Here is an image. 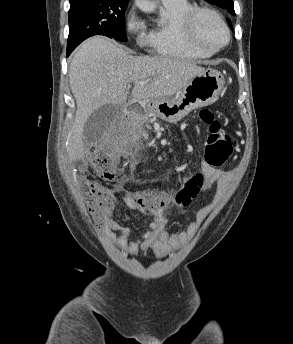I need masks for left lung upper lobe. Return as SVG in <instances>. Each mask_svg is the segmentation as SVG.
<instances>
[{
    "mask_svg": "<svg viewBox=\"0 0 293 344\" xmlns=\"http://www.w3.org/2000/svg\"><path fill=\"white\" fill-rule=\"evenodd\" d=\"M205 1L214 5H217L218 7L224 9L228 15H235L233 0H205Z\"/></svg>",
    "mask_w": 293,
    "mask_h": 344,
    "instance_id": "left-lung-upper-lobe-1",
    "label": "left lung upper lobe"
}]
</instances>
